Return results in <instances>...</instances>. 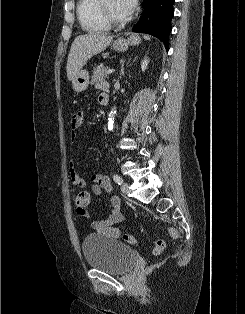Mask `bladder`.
I'll return each mask as SVG.
<instances>
[{
    "label": "bladder",
    "mask_w": 245,
    "mask_h": 314,
    "mask_svg": "<svg viewBox=\"0 0 245 314\" xmlns=\"http://www.w3.org/2000/svg\"><path fill=\"white\" fill-rule=\"evenodd\" d=\"M82 252L88 266L112 274L126 272L138 257L131 247L100 234L85 236Z\"/></svg>",
    "instance_id": "31cf9c89"
}]
</instances>
